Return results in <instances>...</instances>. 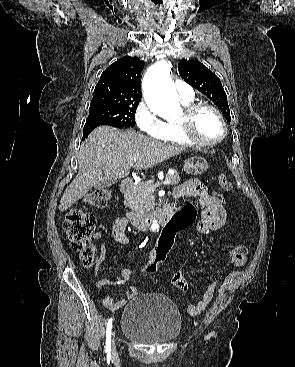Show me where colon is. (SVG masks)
I'll return each instance as SVG.
<instances>
[{
    "label": "colon",
    "mask_w": 295,
    "mask_h": 367,
    "mask_svg": "<svg viewBox=\"0 0 295 367\" xmlns=\"http://www.w3.org/2000/svg\"><path fill=\"white\" fill-rule=\"evenodd\" d=\"M219 187L224 191H230L232 185L225 174H221L217 178ZM212 195L217 196L221 200L222 206H227L229 201L226 196L219 194L218 189L212 190ZM110 198V192L107 189H97L89 193L85 197V203L91 207H103ZM191 196L184 197L185 206L181 207V212L175 219H168L167 223L162 224L161 234L158 240V247L150 265L145 268V273L153 274L157 270L159 263L164 260L172 246L176 244V237L180 231H184L195 220L196 205L191 203ZM95 217L86 209L72 208L64 219V231L69 239L73 250L77 251L80 260L84 266H91L95 258V247L92 244L91 236L95 227ZM247 247L237 245L231 251V261L235 264L242 265L247 255ZM175 285V284H174ZM176 286V285H175ZM179 288V287H178Z\"/></svg>",
    "instance_id": "5ec220e1"
}]
</instances>
